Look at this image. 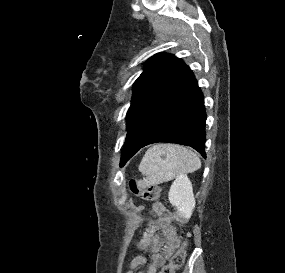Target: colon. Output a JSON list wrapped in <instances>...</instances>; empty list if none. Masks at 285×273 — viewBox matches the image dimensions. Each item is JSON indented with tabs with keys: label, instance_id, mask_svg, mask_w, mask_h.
<instances>
[{
	"label": "colon",
	"instance_id": "obj_1",
	"mask_svg": "<svg viewBox=\"0 0 285 273\" xmlns=\"http://www.w3.org/2000/svg\"><path fill=\"white\" fill-rule=\"evenodd\" d=\"M129 188L131 192L139 197L141 200L153 201L159 198L160 190L156 186H149L137 179L129 181ZM186 243L183 242L181 247L174 253L170 262L163 266L160 273H175V271L182 267L186 255Z\"/></svg>",
	"mask_w": 285,
	"mask_h": 273
}]
</instances>
